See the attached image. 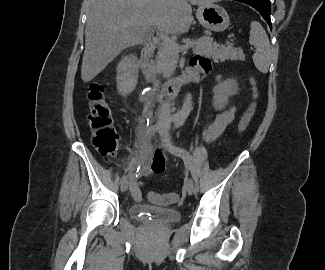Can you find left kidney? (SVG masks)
Listing matches in <instances>:
<instances>
[{
  "label": "left kidney",
  "mask_w": 325,
  "mask_h": 270,
  "mask_svg": "<svg viewBox=\"0 0 325 270\" xmlns=\"http://www.w3.org/2000/svg\"><path fill=\"white\" fill-rule=\"evenodd\" d=\"M238 84L234 79H227L218 84L213 89V106L216 110L225 108L228 104L229 96L237 94Z\"/></svg>",
  "instance_id": "1"
}]
</instances>
